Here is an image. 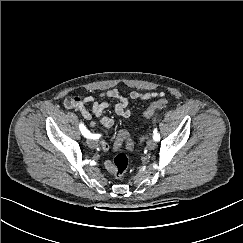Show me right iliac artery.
Returning <instances> with one entry per match:
<instances>
[{
    "label": "right iliac artery",
    "instance_id": "82829eb1",
    "mask_svg": "<svg viewBox=\"0 0 243 243\" xmlns=\"http://www.w3.org/2000/svg\"><path fill=\"white\" fill-rule=\"evenodd\" d=\"M80 131L82 135H84L86 138H92V139H98L99 135L91 134L88 129L84 126V124L79 125Z\"/></svg>",
    "mask_w": 243,
    "mask_h": 243
}]
</instances>
